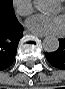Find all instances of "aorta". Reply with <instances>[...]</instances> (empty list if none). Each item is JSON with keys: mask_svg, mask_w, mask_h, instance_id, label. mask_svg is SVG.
<instances>
[{"mask_svg": "<svg viewBox=\"0 0 65 89\" xmlns=\"http://www.w3.org/2000/svg\"><path fill=\"white\" fill-rule=\"evenodd\" d=\"M51 2L49 0H35L34 7L40 12H48ZM59 48V40L55 36H47L43 40V49L46 52H55Z\"/></svg>", "mask_w": 65, "mask_h": 89, "instance_id": "obj_1", "label": "aorta"}]
</instances>
